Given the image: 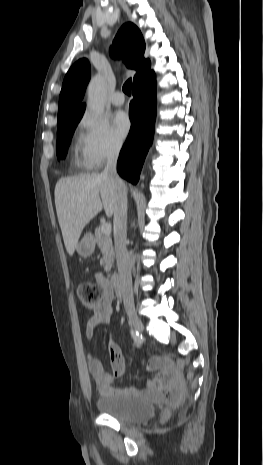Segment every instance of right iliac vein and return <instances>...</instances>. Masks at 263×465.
<instances>
[{"instance_id": "63e3f726", "label": "right iliac vein", "mask_w": 263, "mask_h": 465, "mask_svg": "<svg viewBox=\"0 0 263 465\" xmlns=\"http://www.w3.org/2000/svg\"><path fill=\"white\" fill-rule=\"evenodd\" d=\"M128 317H129V321L131 325L133 326V328L139 333H142L144 330V325H143L141 318L137 315V313L134 310H129Z\"/></svg>"}]
</instances>
